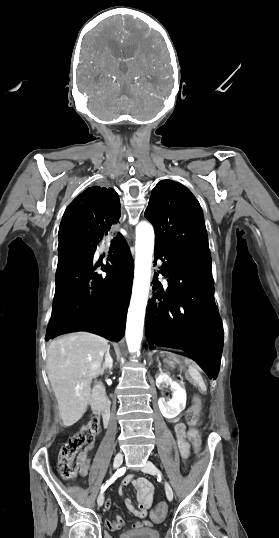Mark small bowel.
Segmentation results:
<instances>
[{
    "label": "small bowel",
    "mask_w": 279,
    "mask_h": 538,
    "mask_svg": "<svg viewBox=\"0 0 279 538\" xmlns=\"http://www.w3.org/2000/svg\"><path fill=\"white\" fill-rule=\"evenodd\" d=\"M174 432L176 435L177 444L181 456L183 459H187L189 456L190 445L186 440V428L183 424L179 423L175 425ZM92 448V444H88L84 448L83 452L79 455L78 465L81 469V475H85L87 472V468L89 465V456ZM129 484H132L136 489L138 509L133 506L132 501L129 498L125 499V506L136 518L139 519L132 524L131 530L138 531L149 528L151 526V522L145 520V517L147 515L148 509L151 507L153 502V485L145 478L134 479L132 474H128L121 481V485L118 488L119 495H122L123 487ZM111 506L112 501L110 499H107L105 502V509L109 510ZM105 523L106 526L112 531H117L125 527V521L121 516H116L113 520L107 519Z\"/></svg>",
    "instance_id": "c3829d8e"
}]
</instances>
